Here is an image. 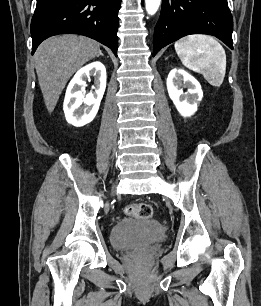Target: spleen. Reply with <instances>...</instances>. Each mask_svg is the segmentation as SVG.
I'll list each match as a JSON object with an SVG mask.
<instances>
[{
	"instance_id": "1",
	"label": "spleen",
	"mask_w": 261,
	"mask_h": 306,
	"mask_svg": "<svg viewBox=\"0 0 261 306\" xmlns=\"http://www.w3.org/2000/svg\"><path fill=\"white\" fill-rule=\"evenodd\" d=\"M183 65L219 87L226 73V54L220 43L209 35H188L174 44Z\"/></svg>"
}]
</instances>
